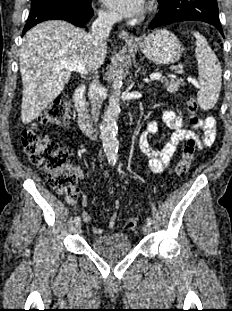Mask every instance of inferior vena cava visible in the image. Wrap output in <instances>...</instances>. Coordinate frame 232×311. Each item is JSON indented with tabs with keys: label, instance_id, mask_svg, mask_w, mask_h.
Returning a JSON list of instances; mask_svg holds the SVG:
<instances>
[{
	"label": "inferior vena cava",
	"instance_id": "obj_1",
	"mask_svg": "<svg viewBox=\"0 0 232 311\" xmlns=\"http://www.w3.org/2000/svg\"><path fill=\"white\" fill-rule=\"evenodd\" d=\"M118 18V15L114 13H99L98 18L92 24V32L89 34V39L95 49H98L105 44V40L112 29V25L118 20ZM99 90L100 85L98 76H96V80H94L89 87L91 114L95 122L98 121L99 110L101 108Z\"/></svg>",
	"mask_w": 232,
	"mask_h": 311
}]
</instances>
